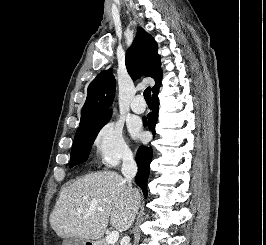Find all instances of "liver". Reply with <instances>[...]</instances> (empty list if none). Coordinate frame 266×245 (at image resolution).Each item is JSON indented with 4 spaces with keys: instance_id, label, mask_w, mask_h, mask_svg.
Masks as SVG:
<instances>
[{
    "instance_id": "obj_1",
    "label": "liver",
    "mask_w": 266,
    "mask_h": 245,
    "mask_svg": "<svg viewBox=\"0 0 266 245\" xmlns=\"http://www.w3.org/2000/svg\"><path fill=\"white\" fill-rule=\"evenodd\" d=\"M140 205L141 193L121 175L98 171L62 189L49 223L61 239H101L108 223L116 231L130 229Z\"/></svg>"
}]
</instances>
